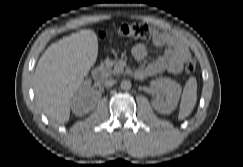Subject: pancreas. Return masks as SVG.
<instances>
[{
    "instance_id": "1",
    "label": "pancreas",
    "mask_w": 243,
    "mask_h": 167,
    "mask_svg": "<svg viewBox=\"0 0 243 167\" xmlns=\"http://www.w3.org/2000/svg\"><path fill=\"white\" fill-rule=\"evenodd\" d=\"M101 67L105 73L106 76L109 75H118L123 72V68L119 65L117 61H112V60H105L102 64Z\"/></svg>"
}]
</instances>
